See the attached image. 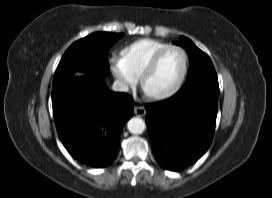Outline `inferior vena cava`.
<instances>
[{"mask_svg": "<svg viewBox=\"0 0 272 198\" xmlns=\"http://www.w3.org/2000/svg\"><path fill=\"white\" fill-rule=\"evenodd\" d=\"M112 89L117 92H127L129 88L126 83L116 80L112 85Z\"/></svg>", "mask_w": 272, "mask_h": 198, "instance_id": "inferior-vena-cava-1", "label": "inferior vena cava"}]
</instances>
